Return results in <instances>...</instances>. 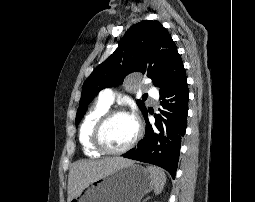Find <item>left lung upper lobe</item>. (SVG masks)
I'll list each match as a JSON object with an SVG mask.
<instances>
[{
  "mask_svg": "<svg viewBox=\"0 0 255 202\" xmlns=\"http://www.w3.org/2000/svg\"><path fill=\"white\" fill-rule=\"evenodd\" d=\"M134 71L146 74L160 91L171 86L185 71L174 41L158 21L144 20L131 26L113 54L86 79L76 124L100 90L121 84ZM136 102L142 113H146L143 101Z\"/></svg>",
  "mask_w": 255,
  "mask_h": 202,
  "instance_id": "left-lung-upper-lobe-1",
  "label": "left lung upper lobe"
}]
</instances>
